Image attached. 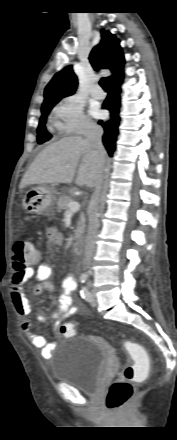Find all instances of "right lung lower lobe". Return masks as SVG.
Returning a JSON list of instances; mask_svg holds the SVG:
<instances>
[{
	"mask_svg": "<svg viewBox=\"0 0 177 440\" xmlns=\"http://www.w3.org/2000/svg\"><path fill=\"white\" fill-rule=\"evenodd\" d=\"M123 69L108 81L110 91L105 99L102 108L110 111L111 120L107 122L99 121L98 123L104 128L103 143L108 151L109 156L113 155L116 148V140L119 126V108H120V92L123 81Z\"/></svg>",
	"mask_w": 177,
	"mask_h": 440,
	"instance_id": "98d812e1",
	"label": "right lung lower lobe"
}]
</instances>
